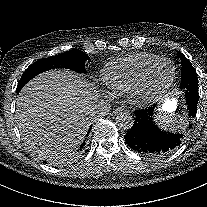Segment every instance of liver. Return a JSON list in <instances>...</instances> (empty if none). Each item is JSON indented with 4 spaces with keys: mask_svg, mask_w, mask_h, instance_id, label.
Segmentation results:
<instances>
[{
    "mask_svg": "<svg viewBox=\"0 0 207 207\" xmlns=\"http://www.w3.org/2000/svg\"><path fill=\"white\" fill-rule=\"evenodd\" d=\"M94 91L82 75L67 69L31 79L16 100L15 119L28 148L65 155L79 147L96 114Z\"/></svg>",
    "mask_w": 207,
    "mask_h": 207,
    "instance_id": "liver-1",
    "label": "liver"
}]
</instances>
